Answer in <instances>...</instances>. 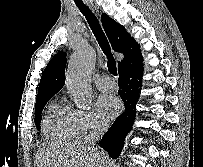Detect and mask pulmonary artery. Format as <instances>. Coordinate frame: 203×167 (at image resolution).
Here are the masks:
<instances>
[{"label": "pulmonary artery", "mask_w": 203, "mask_h": 167, "mask_svg": "<svg viewBox=\"0 0 203 167\" xmlns=\"http://www.w3.org/2000/svg\"><path fill=\"white\" fill-rule=\"evenodd\" d=\"M95 86L102 91H108L113 90L116 87V83L110 76L105 75L95 80Z\"/></svg>", "instance_id": "e3ab8cb5"}]
</instances>
